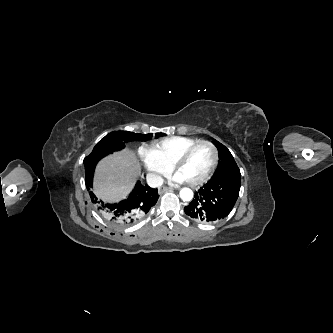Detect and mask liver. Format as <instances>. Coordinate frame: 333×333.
<instances>
[{
  "instance_id": "obj_1",
  "label": "liver",
  "mask_w": 333,
  "mask_h": 333,
  "mask_svg": "<svg viewBox=\"0 0 333 333\" xmlns=\"http://www.w3.org/2000/svg\"><path fill=\"white\" fill-rule=\"evenodd\" d=\"M141 173L136 154L125 149L103 158L97 165L94 193L104 202H116L126 198Z\"/></svg>"
}]
</instances>
